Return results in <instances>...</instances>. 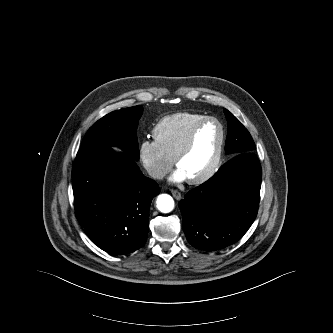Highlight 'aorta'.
I'll list each match as a JSON object with an SVG mask.
<instances>
[{"mask_svg":"<svg viewBox=\"0 0 333 333\" xmlns=\"http://www.w3.org/2000/svg\"><path fill=\"white\" fill-rule=\"evenodd\" d=\"M156 204L158 210L162 213H169L174 209V200L168 194L159 195Z\"/></svg>","mask_w":333,"mask_h":333,"instance_id":"obj_1","label":"aorta"}]
</instances>
